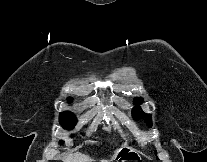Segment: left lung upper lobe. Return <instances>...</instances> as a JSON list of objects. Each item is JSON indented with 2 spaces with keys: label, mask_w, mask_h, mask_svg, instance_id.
I'll list each match as a JSON object with an SVG mask.
<instances>
[{
  "label": "left lung upper lobe",
  "mask_w": 207,
  "mask_h": 162,
  "mask_svg": "<svg viewBox=\"0 0 207 162\" xmlns=\"http://www.w3.org/2000/svg\"><path fill=\"white\" fill-rule=\"evenodd\" d=\"M141 101H142V99H140V98L134 99L135 108L132 110L133 117L136 120L145 118L146 123L148 124L149 127H151V125H152L151 115L146 114L143 111H141V108L138 105V104H140Z\"/></svg>",
  "instance_id": "obj_1"
}]
</instances>
